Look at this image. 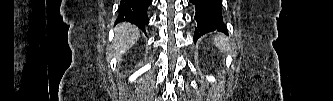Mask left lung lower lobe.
Returning a JSON list of instances; mask_svg holds the SVG:
<instances>
[{
    "label": "left lung lower lobe",
    "instance_id": "left-lung-lower-lobe-1",
    "mask_svg": "<svg viewBox=\"0 0 333 101\" xmlns=\"http://www.w3.org/2000/svg\"><path fill=\"white\" fill-rule=\"evenodd\" d=\"M195 5L197 27L194 33V42L205 33L217 30L227 34L222 19V0H190Z\"/></svg>",
    "mask_w": 333,
    "mask_h": 101
}]
</instances>
